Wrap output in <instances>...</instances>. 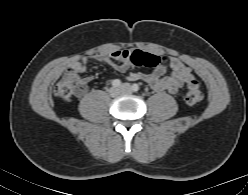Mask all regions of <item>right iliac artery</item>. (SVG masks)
I'll return each mask as SVG.
<instances>
[{"instance_id":"obj_1","label":"right iliac artery","mask_w":248,"mask_h":195,"mask_svg":"<svg viewBox=\"0 0 248 195\" xmlns=\"http://www.w3.org/2000/svg\"><path fill=\"white\" fill-rule=\"evenodd\" d=\"M122 84V82L119 79H115L112 81V85L114 87H119Z\"/></svg>"}]
</instances>
